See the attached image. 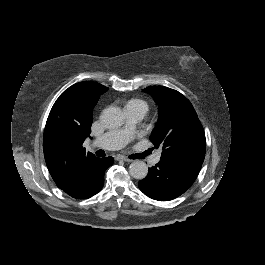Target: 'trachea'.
Wrapping results in <instances>:
<instances>
[{
	"label": "trachea",
	"mask_w": 265,
	"mask_h": 265,
	"mask_svg": "<svg viewBox=\"0 0 265 265\" xmlns=\"http://www.w3.org/2000/svg\"><path fill=\"white\" fill-rule=\"evenodd\" d=\"M153 151V149H148L143 153H139V154H131L128 156L129 159H143L145 158L147 155L151 154ZM97 155L101 157V154H99L97 152Z\"/></svg>",
	"instance_id": "trachea-1"
}]
</instances>
